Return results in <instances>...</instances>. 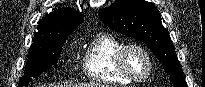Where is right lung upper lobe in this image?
I'll use <instances>...</instances> for the list:
<instances>
[{
    "mask_svg": "<svg viewBox=\"0 0 205 87\" xmlns=\"http://www.w3.org/2000/svg\"><path fill=\"white\" fill-rule=\"evenodd\" d=\"M83 19L82 14L73 8H59L38 22L33 41L67 37Z\"/></svg>",
    "mask_w": 205,
    "mask_h": 87,
    "instance_id": "obj_1",
    "label": "right lung upper lobe"
}]
</instances>
